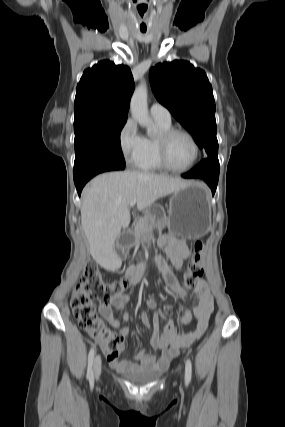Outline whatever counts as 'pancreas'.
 Returning <instances> with one entry per match:
<instances>
[{"instance_id":"cf45deb5","label":"pancreas","mask_w":285,"mask_h":427,"mask_svg":"<svg viewBox=\"0 0 285 427\" xmlns=\"http://www.w3.org/2000/svg\"><path fill=\"white\" fill-rule=\"evenodd\" d=\"M155 227V219L151 214L147 213L140 218L134 227V238L139 240L145 233L151 232Z\"/></svg>"}]
</instances>
